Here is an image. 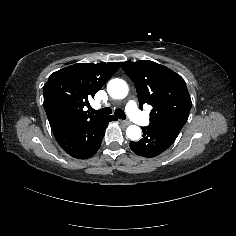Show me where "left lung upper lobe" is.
Masks as SVG:
<instances>
[{
	"label": "left lung upper lobe",
	"mask_w": 236,
	"mask_h": 236,
	"mask_svg": "<svg viewBox=\"0 0 236 236\" xmlns=\"http://www.w3.org/2000/svg\"><path fill=\"white\" fill-rule=\"evenodd\" d=\"M134 82L139 106L150 104V126L181 131L192 106L184 79L158 63L149 60L121 62Z\"/></svg>",
	"instance_id": "1"
}]
</instances>
